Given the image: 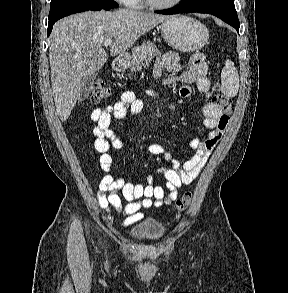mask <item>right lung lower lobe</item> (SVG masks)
<instances>
[{
	"instance_id": "1",
	"label": "right lung lower lobe",
	"mask_w": 288,
	"mask_h": 293,
	"mask_svg": "<svg viewBox=\"0 0 288 293\" xmlns=\"http://www.w3.org/2000/svg\"><path fill=\"white\" fill-rule=\"evenodd\" d=\"M102 9H104V10H110V9H112V8H100V7H94V6H82V7H78V8H74V9L67 10V11H65V12H63V13H61V14H59V15L53 17V18H50V19H49V23H48L47 35H48V36L50 35L54 23H55L57 20H59V19L65 17V16H68V15H70V14H74V13H79V12L88 11V10L97 11V10H102Z\"/></svg>"
}]
</instances>
